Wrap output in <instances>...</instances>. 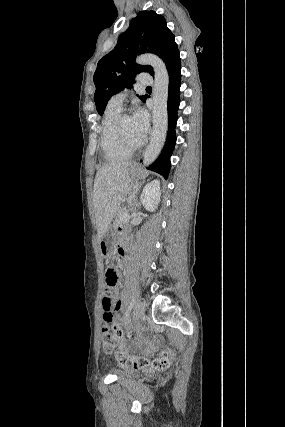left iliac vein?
I'll list each match as a JSON object with an SVG mask.
<instances>
[{"label": "left iliac vein", "instance_id": "left-iliac-vein-1", "mask_svg": "<svg viewBox=\"0 0 285 427\" xmlns=\"http://www.w3.org/2000/svg\"><path fill=\"white\" fill-rule=\"evenodd\" d=\"M145 313V305L143 302H138L133 314V324H136L144 315Z\"/></svg>", "mask_w": 285, "mask_h": 427}]
</instances>
